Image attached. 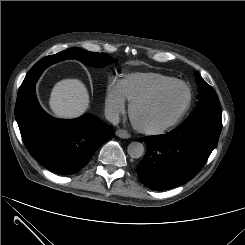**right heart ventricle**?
Returning a JSON list of instances; mask_svg holds the SVG:
<instances>
[{
	"label": "right heart ventricle",
	"mask_w": 245,
	"mask_h": 245,
	"mask_svg": "<svg viewBox=\"0 0 245 245\" xmlns=\"http://www.w3.org/2000/svg\"><path fill=\"white\" fill-rule=\"evenodd\" d=\"M172 80L175 79L160 73H132L122 78L119 84L125 99L132 103L140 96Z\"/></svg>",
	"instance_id": "obj_1"
}]
</instances>
